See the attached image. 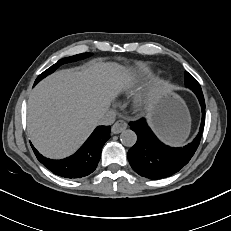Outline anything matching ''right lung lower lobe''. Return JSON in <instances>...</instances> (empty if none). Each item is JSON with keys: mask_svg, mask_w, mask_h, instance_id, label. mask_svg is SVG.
Returning a JSON list of instances; mask_svg holds the SVG:
<instances>
[{"mask_svg": "<svg viewBox=\"0 0 231 231\" xmlns=\"http://www.w3.org/2000/svg\"><path fill=\"white\" fill-rule=\"evenodd\" d=\"M110 138V126H98L82 147L72 156L61 159H47L33 148L37 159L51 172L64 178H81L92 173L100 160L101 150Z\"/></svg>", "mask_w": 231, "mask_h": 231, "instance_id": "98d812e1", "label": "right lung lower lobe"}]
</instances>
